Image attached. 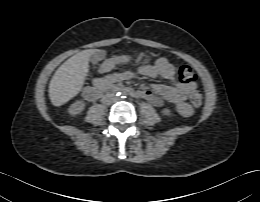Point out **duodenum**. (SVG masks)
Masks as SVG:
<instances>
[{
	"label": "duodenum",
	"mask_w": 260,
	"mask_h": 202,
	"mask_svg": "<svg viewBox=\"0 0 260 202\" xmlns=\"http://www.w3.org/2000/svg\"><path fill=\"white\" fill-rule=\"evenodd\" d=\"M117 89L119 90V88L115 87L112 82L100 81L95 86L85 88L83 90V97L86 100L93 101L101 94L110 90L115 91ZM123 91L132 96H136V93L131 89H123Z\"/></svg>",
	"instance_id": "1"
}]
</instances>
